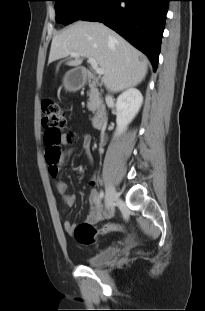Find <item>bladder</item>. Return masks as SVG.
<instances>
[{
  "mask_svg": "<svg viewBox=\"0 0 205 311\" xmlns=\"http://www.w3.org/2000/svg\"><path fill=\"white\" fill-rule=\"evenodd\" d=\"M119 250L118 246H108L100 250L88 252L84 255L83 261L92 267L104 266L117 258Z\"/></svg>",
  "mask_w": 205,
  "mask_h": 311,
  "instance_id": "bladder-1",
  "label": "bladder"
}]
</instances>
